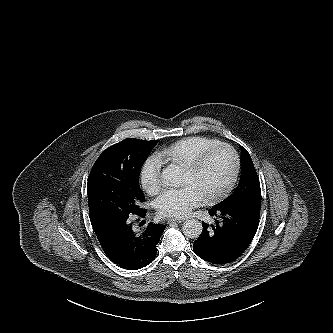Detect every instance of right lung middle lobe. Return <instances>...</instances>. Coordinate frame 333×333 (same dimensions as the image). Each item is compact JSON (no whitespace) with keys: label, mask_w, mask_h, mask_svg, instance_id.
<instances>
[{"label":"right lung middle lobe","mask_w":333,"mask_h":333,"mask_svg":"<svg viewBox=\"0 0 333 333\" xmlns=\"http://www.w3.org/2000/svg\"><path fill=\"white\" fill-rule=\"evenodd\" d=\"M157 141L127 138L101 153L93 165L87 194L92 226L108 221H127L142 208L145 196L139 175Z\"/></svg>","instance_id":"right-lung-middle-lobe-1"}]
</instances>
